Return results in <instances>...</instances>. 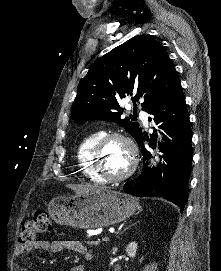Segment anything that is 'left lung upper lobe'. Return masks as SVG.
I'll list each match as a JSON object with an SVG mask.
<instances>
[{"instance_id":"left-lung-upper-lobe-1","label":"left lung upper lobe","mask_w":221,"mask_h":271,"mask_svg":"<svg viewBox=\"0 0 221 271\" xmlns=\"http://www.w3.org/2000/svg\"><path fill=\"white\" fill-rule=\"evenodd\" d=\"M180 83L161 44L147 35L135 36L104 55L90 68L77 87L72 107L76 123L113 121L136 140L142 129L132 116L121 119L119 101L129 95L135 104L144 98L142 110L150 113Z\"/></svg>"}]
</instances>
